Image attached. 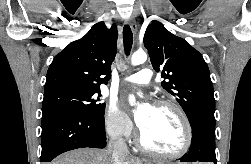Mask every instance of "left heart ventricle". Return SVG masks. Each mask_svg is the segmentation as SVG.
Wrapping results in <instances>:
<instances>
[{
  "label": "left heart ventricle",
  "mask_w": 251,
  "mask_h": 164,
  "mask_svg": "<svg viewBox=\"0 0 251 164\" xmlns=\"http://www.w3.org/2000/svg\"><path fill=\"white\" fill-rule=\"evenodd\" d=\"M147 107L140 114L145 113ZM147 145L162 152H176L184 142V129L178 115L169 108L153 107L141 130Z\"/></svg>",
  "instance_id": "left-heart-ventricle-1"
}]
</instances>
